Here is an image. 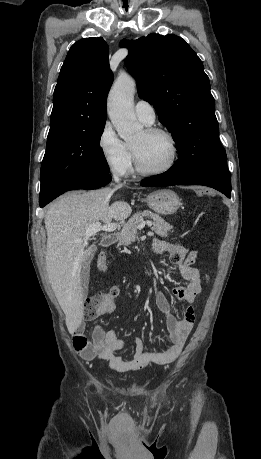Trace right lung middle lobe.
<instances>
[{
	"label": "right lung middle lobe",
	"mask_w": 261,
	"mask_h": 459,
	"mask_svg": "<svg viewBox=\"0 0 261 459\" xmlns=\"http://www.w3.org/2000/svg\"><path fill=\"white\" fill-rule=\"evenodd\" d=\"M104 127L105 122L83 130L48 135L41 164L40 198L72 177L109 173L100 149Z\"/></svg>",
	"instance_id": "obj_1"
}]
</instances>
